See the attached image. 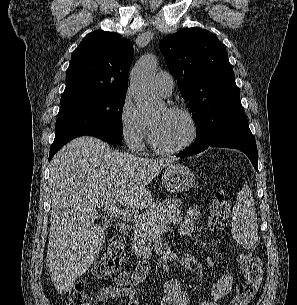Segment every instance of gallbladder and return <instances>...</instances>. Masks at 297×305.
Here are the masks:
<instances>
[{
  "label": "gallbladder",
  "instance_id": "1",
  "mask_svg": "<svg viewBox=\"0 0 297 305\" xmlns=\"http://www.w3.org/2000/svg\"><path fill=\"white\" fill-rule=\"evenodd\" d=\"M111 226V223L110 222H104L103 223V228L105 229V228H108V227H110Z\"/></svg>",
  "mask_w": 297,
  "mask_h": 305
}]
</instances>
